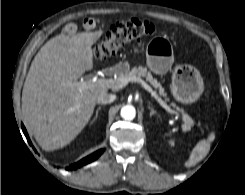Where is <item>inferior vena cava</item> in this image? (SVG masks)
Listing matches in <instances>:
<instances>
[{
    "label": "inferior vena cava",
    "mask_w": 245,
    "mask_h": 195,
    "mask_svg": "<svg viewBox=\"0 0 245 195\" xmlns=\"http://www.w3.org/2000/svg\"><path fill=\"white\" fill-rule=\"evenodd\" d=\"M116 99V96L114 94L109 93H101L98 95L96 102L98 104H109L112 103Z\"/></svg>",
    "instance_id": "obj_1"
}]
</instances>
